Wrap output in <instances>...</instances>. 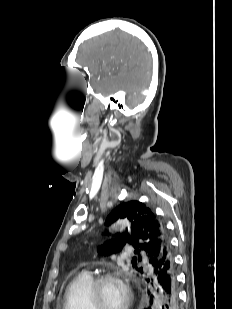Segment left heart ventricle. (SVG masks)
I'll list each match as a JSON object with an SVG mask.
<instances>
[{
  "mask_svg": "<svg viewBox=\"0 0 232 309\" xmlns=\"http://www.w3.org/2000/svg\"><path fill=\"white\" fill-rule=\"evenodd\" d=\"M127 294L124 287L116 281H108L100 289L102 309H124Z\"/></svg>",
  "mask_w": 232,
  "mask_h": 309,
  "instance_id": "obj_1",
  "label": "left heart ventricle"
}]
</instances>
